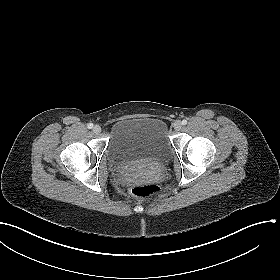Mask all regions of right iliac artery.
Masks as SVG:
<instances>
[{
    "mask_svg": "<svg viewBox=\"0 0 280 280\" xmlns=\"http://www.w3.org/2000/svg\"><path fill=\"white\" fill-rule=\"evenodd\" d=\"M87 127H88L89 129H92V128H93V124H92V123H89V124L87 125Z\"/></svg>",
    "mask_w": 280,
    "mask_h": 280,
    "instance_id": "obj_1",
    "label": "right iliac artery"
}]
</instances>
